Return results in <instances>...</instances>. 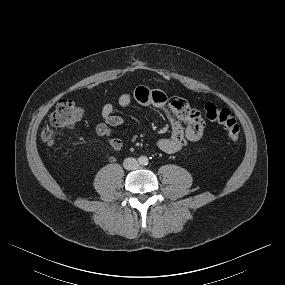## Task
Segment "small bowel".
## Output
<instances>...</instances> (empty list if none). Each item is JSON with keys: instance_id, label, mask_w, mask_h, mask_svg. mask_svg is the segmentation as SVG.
Masks as SVG:
<instances>
[{"instance_id": "obj_1", "label": "small bowel", "mask_w": 285, "mask_h": 285, "mask_svg": "<svg viewBox=\"0 0 285 285\" xmlns=\"http://www.w3.org/2000/svg\"><path fill=\"white\" fill-rule=\"evenodd\" d=\"M133 101L144 106L159 108L166 114L170 125L171 134L166 138H159L156 146L168 154L181 151L189 142L198 141L204 132L205 122L199 110L192 108L181 98H168L159 90H152L145 86H138L132 93L126 92L119 96L118 105L126 108ZM115 105L106 103L101 111V121L96 125V133L107 139L110 147L115 152L122 149V141L113 136L112 129L123 125L122 117L114 114Z\"/></svg>"}]
</instances>
